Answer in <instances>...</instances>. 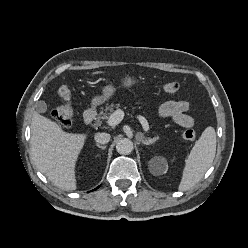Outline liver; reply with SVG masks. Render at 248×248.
<instances>
[{
  "instance_id": "1",
  "label": "liver",
  "mask_w": 248,
  "mask_h": 248,
  "mask_svg": "<svg viewBox=\"0 0 248 248\" xmlns=\"http://www.w3.org/2000/svg\"><path fill=\"white\" fill-rule=\"evenodd\" d=\"M102 72H95L99 74ZM87 135L68 133L50 119L34 112L31 122V157L55 186L76 189L75 166Z\"/></svg>"
}]
</instances>
